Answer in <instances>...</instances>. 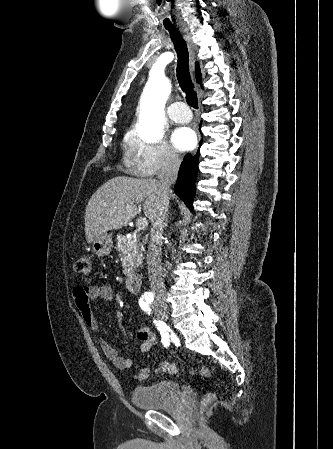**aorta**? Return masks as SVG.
<instances>
[{
  "label": "aorta",
  "instance_id": "1",
  "mask_svg": "<svg viewBox=\"0 0 333 449\" xmlns=\"http://www.w3.org/2000/svg\"><path fill=\"white\" fill-rule=\"evenodd\" d=\"M171 82L161 68L154 66L150 71L140 100L139 135L150 142L163 138L165 123V107L171 91Z\"/></svg>",
  "mask_w": 333,
  "mask_h": 449
}]
</instances>
